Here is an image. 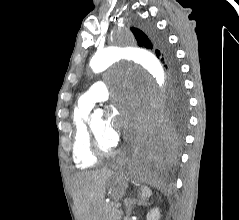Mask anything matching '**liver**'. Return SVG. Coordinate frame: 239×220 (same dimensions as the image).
<instances>
[{"label":"liver","instance_id":"liver-1","mask_svg":"<svg viewBox=\"0 0 239 220\" xmlns=\"http://www.w3.org/2000/svg\"><path fill=\"white\" fill-rule=\"evenodd\" d=\"M114 172L85 171L73 176L71 185L78 220H103L106 186Z\"/></svg>","mask_w":239,"mask_h":220}]
</instances>
